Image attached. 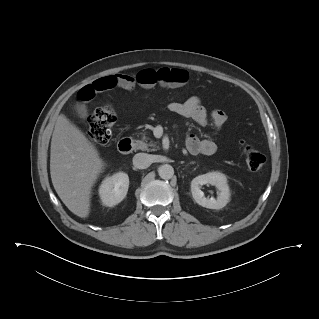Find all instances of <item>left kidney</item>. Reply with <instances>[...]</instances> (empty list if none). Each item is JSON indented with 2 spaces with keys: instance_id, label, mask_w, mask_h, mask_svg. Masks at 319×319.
<instances>
[{
  "instance_id": "5707ae66",
  "label": "left kidney",
  "mask_w": 319,
  "mask_h": 319,
  "mask_svg": "<svg viewBox=\"0 0 319 319\" xmlns=\"http://www.w3.org/2000/svg\"><path fill=\"white\" fill-rule=\"evenodd\" d=\"M211 184L219 190L217 199L206 198L201 186ZM191 192L194 200L201 206L209 209H221L227 205L230 200V190L227 184V178L220 172H209L195 177L191 181Z\"/></svg>"
}]
</instances>
